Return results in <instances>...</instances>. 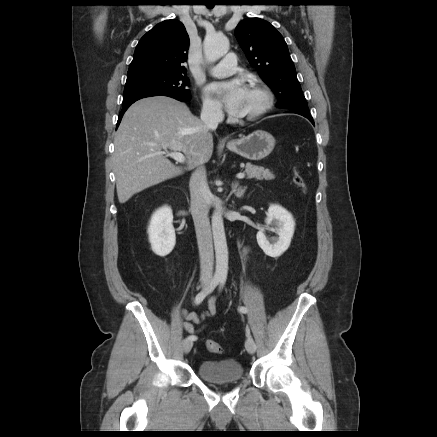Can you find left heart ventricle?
<instances>
[{
	"mask_svg": "<svg viewBox=\"0 0 437 437\" xmlns=\"http://www.w3.org/2000/svg\"><path fill=\"white\" fill-rule=\"evenodd\" d=\"M262 95L255 90L248 88L243 98L242 106L238 116L247 115L256 111L262 104Z\"/></svg>",
	"mask_w": 437,
	"mask_h": 437,
	"instance_id": "b2bd125f",
	"label": "left heart ventricle"
}]
</instances>
